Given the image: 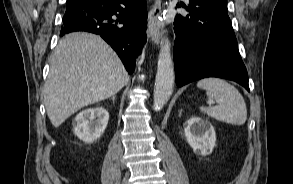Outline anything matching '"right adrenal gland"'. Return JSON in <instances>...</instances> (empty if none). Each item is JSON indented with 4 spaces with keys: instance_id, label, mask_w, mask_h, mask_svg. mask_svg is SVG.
<instances>
[{
    "instance_id": "right-adrenal-gland-1",
    "label": "right adrenal gland",
    "mask_w": 293,
    "mask_h": 184,
    "mask_svg": "<svg viewBox=\"0 0 293 184\" xmlns=\"http://www.w3.org/2000/svg\"><path fill=\"white\" fill-rule=\"evenodd\" d=\"M115 98H116V95H113V96L111 97V100L113 101V103L115 102Z\"/></svg>"
}]
</instances>
